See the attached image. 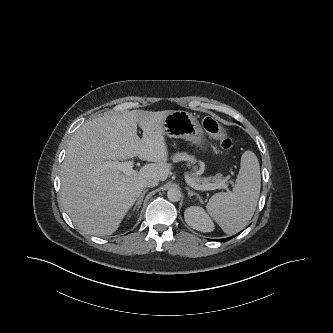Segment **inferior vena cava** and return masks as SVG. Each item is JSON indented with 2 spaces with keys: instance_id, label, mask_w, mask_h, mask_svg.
I'll list each match as a JSON object with an SVG mask.
<instances>
[{
  "instance_id": "1",
  "label": "inferior vena cava",
  "mask_w": 333,
  "mask_h": 333,
  "mask_svg": "<svg viewBox=\"0 0 333 333\" xmlns=\"http://www.w3.org/2000/svg\"><path fill=\"white\" fill-rule=\"evenodd\" d=\"M159 179L158 178H147L144 181L145 187H155L158 185Z\"/></svg>"
}]
</instances>
